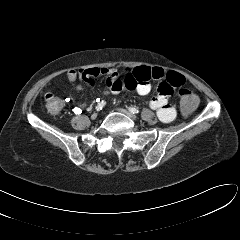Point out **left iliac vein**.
Here are the masks:
<instances>
[{"label":"left iliac vein","instance_id":"obj_1","mask_svg":"<svg viewBox=\"0 0 240 240\" xmlns=\"http://www.w3.org/2000/svg\"><path fill=\"white\" fill-rule=\"evenodd\" d=\"M116 110L121 112V113H123V114H125L126 116H128L129 118H131L133 120L137 119L136 115H134L133 113H131V112H129V111L123 109V108H117Z\"/></svg>","mask_w":240,"mask_h":240}]
</instances>
